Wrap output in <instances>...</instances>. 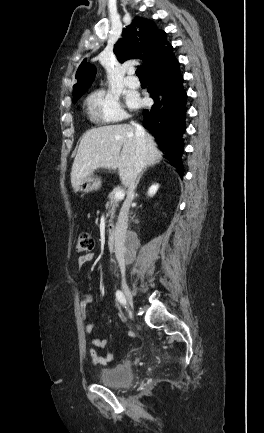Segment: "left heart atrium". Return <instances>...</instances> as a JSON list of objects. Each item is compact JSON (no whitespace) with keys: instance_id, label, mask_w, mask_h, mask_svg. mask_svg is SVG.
Returning a JSON list of instances; mask_svg holds the SVG:
<instances>
[{"instance_id":"obj_1","label":"left heart atrium","mask_w":264,"mask_h":433,"mask_svg":"<svg viewBox=\"0 0 264 433\" xmlns=\"http://www.w3.org/2000/svg\"><path fill=\"white\" fill-rule=\"evenodd\" d=\"M128 104H129L131 107H136V106H138L139 102H138V99H137V98H135V97H129V98H128Z\"/></svg>"}]
</instances>
